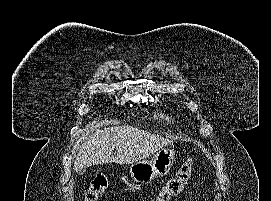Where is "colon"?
<instances>
[{"mask_svg":"<svg viewBox=\"0 0 271 201\" xmlns=\"http://www.w3.org/2000/svg\"><path fill=\"white\" fill-rule=\"evenodd\" d=\"M193 169V159L188 158L178 170L176 176L169 180L159 191L155 201H170L180 194L189 181ZM108 186L104 177L94 178L85 193L84 201H98L100 195L104 193Z\"/></svg>","mask_w":271,"mask_h":201,"instance_id":"obj_1","label":"colon"}]
</instances>
